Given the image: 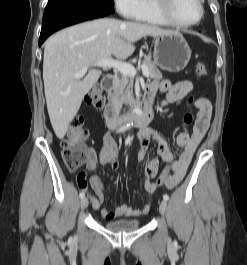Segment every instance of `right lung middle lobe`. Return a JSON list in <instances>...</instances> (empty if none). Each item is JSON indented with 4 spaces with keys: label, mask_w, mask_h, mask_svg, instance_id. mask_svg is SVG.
<instances>
[{
    "label": "right lung middle lobe",
    "mask_w": 247,
    "mask_h": 265,
    "mask_svg": "<svg viewBox=\"0 0 247 265\" xmlns=\"http://www.w3.org/2000/svg\"><path fill=\"white\" fill-rule=\"evenodd\" d=\"M99 1H103V2L109 3L111 5L114 4V1L113 0H99Z\"/></svg>",
    "instance_id": "obj_1"
}]
</instances>
